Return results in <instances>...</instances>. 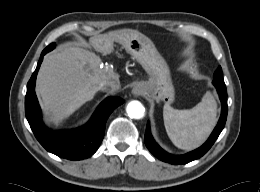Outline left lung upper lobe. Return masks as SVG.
<instances>
[{"label": "left lung upper lobe", "mask_w": 260, "mask_h": 192, "mask_svg": "<svg viewBox=\"0 0 260 192\" xmlns=\"http://www.w3.org/2000/svg\"><path fill=\"white\" fill-rule=\"evenodd\" d=\"M213 81H224L221 67H218V69L215 71Z\"/></svg>", "instance_id": "obj_1"}]
</instances>
